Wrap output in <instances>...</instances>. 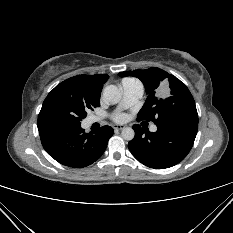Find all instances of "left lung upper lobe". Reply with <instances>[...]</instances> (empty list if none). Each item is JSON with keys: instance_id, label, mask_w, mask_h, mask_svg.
Masks as SVG:
<instances>
[{"instance_id": "1", "label": "left lung upper lobe", "mask_w": 233, "mask_h": 233, "mask_svg": "<svg viewBox=\"0 0 233 233\" xmlns=\"http://www.w3.org/2000/svg\"><path fill=\"white\" fill-rule=\"evenodd\" d=\"M119 75L137 77L146 88L148 97L139 111L138 120L153 121L157 127L198 126L195 101L186 85L175 76L156 67L124 71Z\"/></svg>"}]
</instances>
